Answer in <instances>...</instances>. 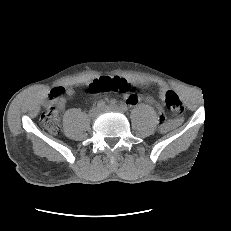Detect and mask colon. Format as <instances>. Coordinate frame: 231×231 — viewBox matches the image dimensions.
<instances>
[{"label":"colon","mask_w":231,"mask_h":231,"mask_svg":"<svg viewBox=\"0 0 231 231\" xmlns=\"http://www.w3.org/2000/svg\"><path fill=\"white\" fill-rule=\"evenodd\" d=\"M130 86L128 82L119 77L108 78L103 77L94 80L90 89L95 92H108V91H116V92H127ZM62 94V90L54 89L51 92V98L54 100L58 96ZM165 107L171 113L179 115L183 112V104L179 98V96L171 90H168L164 97ZM40 121L43 127L51 133L57 134L60 132V117L58 109L55 105L49 106L45 111L42 112L40 116ZM178 121L176 120L175 123ZM160 125L164 127L166 125L164 118V111L160 112Z\"/></svg>","instance_id":"1"}]
</instances>
